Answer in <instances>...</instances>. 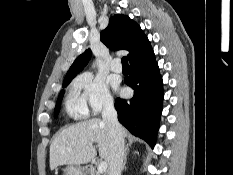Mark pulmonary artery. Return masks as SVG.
<instances>
[{"label":"pulmonary artery","mask_w":233,"mask_h":175,"mask_svg":"<svg viewBox=\"0 0 233 175\" xmlns=\"http://www.w3.org/2000/svg\"><path fill=\"white\" fill-rule=\"evenodd\" d=\"M111 70L115 73H121L122 72V67L120 64L119 59H114L113 62L111 63Z\"/></svg>","instance_id":"obj_1"}]
</instances>
